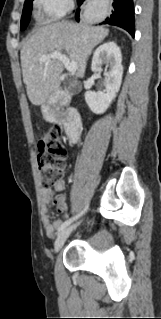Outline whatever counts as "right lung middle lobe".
<instances>
[{
    "label": "right lung middle lobe",
    "mask_w": 161,
    "mask_h": 319,
    "mask_svg": "<svg viewBox=\"0 0 161 319\" xmlns=\"http://www.w3.org/2000/svg\"><path fill=\"white\" fill-rule=\"evenodd\" d=\"M32 2L33 0L25 1L23 14L21 18V30H24L26 26L28 25L31 11H32Z\"/></svg>",
    "instance_id": "obj_1"
}]
</instances>
